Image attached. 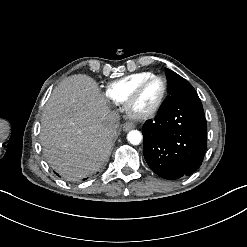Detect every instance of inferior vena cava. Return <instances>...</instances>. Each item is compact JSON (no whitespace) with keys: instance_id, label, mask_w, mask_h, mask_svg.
I'll return each mask as SVG.
<instances>
[{"instance_id":"1","label":"inferior vena cava","mask_w":247,"mask_h":247,"mask_svg":"<svg viewBox=\"0 0 247 247\" xmlns=\"http://www.w3.org/2000/svg\"><path fill=\"white\" fill-rule=\"evenodd\" d=\"M108 120L110 122L111 130L114 136H117L120 133V115L118 112L113 111L108 115Z\"/></svg>"}]
</instances>
